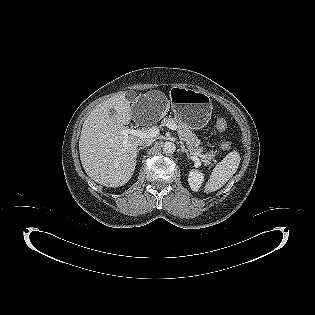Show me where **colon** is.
<instances>
[{
  "label": "colon",
  "mask_w": 315,
  "mask_h": 315,
  "mask_svg": "<svg viewBox=\"0 0 315 315\" xmlns=\"http://www.w3.org/2000/svg\"><path fill=\"white\" fill-rule=\"evenodd\" d=\"M215 126H216L218 131L224 132L228 128V123L225 119L219 118V119H217ZM230 147H231V144L229 142H223L222 143L223 149L228 150V149H230Z\"/></svg>",
  "instance_id": "5ec220e1"
}]
</instances>
